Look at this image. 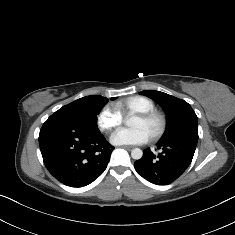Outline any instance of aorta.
Segmentation results:
<instances>
[{"instance_id":"aorta-1","label":"aorta","mask_w":235,"mask_h":235,"mask_svg":"<svg viewBox=\"0 0 235 235\" xmlns=\"http://www.w3.org/2000/svg\"><path fill=\"white\" fill-rule=\"evenodd\" d=\"M131 121L130 118L126 119L124 121V125L125 126H129V122ZM143 156V151L139 148H134L132 151H131V157L135 160H139L141 159Z\"/></svg>"}]
</instances>
